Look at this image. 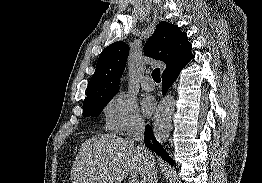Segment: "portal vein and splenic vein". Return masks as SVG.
<instances>
[{
	"mask_svg": "<svg viewBox=\"0 0 262 183\" xmlns=\"http://www.w3.org/2000/svg\"><path fill=\"white\" fill-rule=\"evenodd\" d=\"M129 183H137V179L133 178V179L130 180Z\"/></svg>",
	"mask_w": 262,
	"mask_h": 183,
	"instance_id": "portal-vein-and-splenic-vein-1",
	"label": "portal vein and splenic vein"
}]
</instances>
